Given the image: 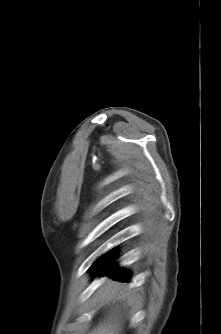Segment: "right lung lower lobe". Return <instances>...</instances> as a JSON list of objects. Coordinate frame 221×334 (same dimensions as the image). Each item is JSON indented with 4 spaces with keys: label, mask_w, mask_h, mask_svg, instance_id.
I'll use <instances>...</instances> for the list:
<instances>
[{
    "label": "right lung lower lobe",
    "mask_w": 221,
    "mask_h": 334,
    "mask_svg": "<svg viewBox=\"0 0 221 334\" xmlns=\"http://www.w3.org/2000/svg\"><path fill=\"white\" fill-rule=\"evenodd\" d=\"M102 274L114 277L116 279H120L122 281H127L129 279V272L121 269H115V267L105 270L104 272H102Z\"/></svg>",
    "instance_id": "obj_1"
}]
</instances>
